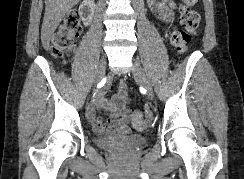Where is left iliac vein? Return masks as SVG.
I'll return each mask as SVG.
<instances>
[{
	"mask_svg": "<svg viewBox=\"0 0 244 179\" xmlns=\"http://www.w3.org/2000/svg\"><path fill=\"white\" fill-rule=\"evenodd\" d=\"M132 73H133L135 79L138 80V82L143 87L146 88V91H147L146 93H147L148 99L152 100L154 95H153L151 83L147 79V76H146L145 72L143 71V69L141 68L140 64L134 59H133Z\"/></svg>",
	"mask_w": 244,
	"mask_h": 179,
	"instance_id": "left-iliac-vein-1",
	"label": "left iliac vein"
}]
</instances>
